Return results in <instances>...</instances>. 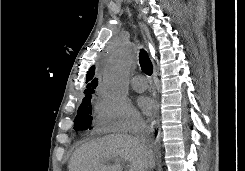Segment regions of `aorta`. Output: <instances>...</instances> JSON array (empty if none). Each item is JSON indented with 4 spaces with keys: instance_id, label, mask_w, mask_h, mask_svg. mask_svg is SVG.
Instances as JSON below:
<instances>
[{
    "instance_id": "aorta-1",
    "label": "aorta",
    "mask_w": 245,
    "mask_h": 171,
    "mask_svg": "<svg viewBox=\"0 0 245 171\" xmlns=\"http://www.w3.org/2000/svg\"><path fill=\"white\" fill-rule=\"evenodd\" d=\"M135 58L136 47L132 42L127 41L109 59L102 80L106 94L114 98L127 96L129 91L128 76Z\"/></svg>"
}]
</instances>
